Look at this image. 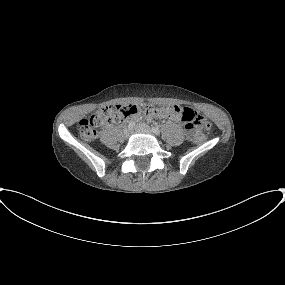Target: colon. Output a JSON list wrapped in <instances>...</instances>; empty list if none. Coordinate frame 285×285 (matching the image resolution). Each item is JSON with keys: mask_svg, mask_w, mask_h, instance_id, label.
Masks as SVG:
<instances>
[{"mask_svg": "<svg viewBox=\"0 0 285 285\" xmlns=\"http://www.w3.org/2000/svg\"><path fill=\"white\" fill-rule=\"evenodd\" d=\"M177 106H151L146 104L118 106H102L88 117L79 121V134L84 141H90L97 137L98 128L110 124L121 117H135L146 114L166 113L178 111ZM182 119L186 125L188 137L197 141L201 138V128L210 129L211 123L203 116L191 111L189 108L182 109Z\"/></svg>", "mask_w": 285, "mask_h": 285, "instance_id": "5ec220e1", "label": "colon"}]
</instances>
